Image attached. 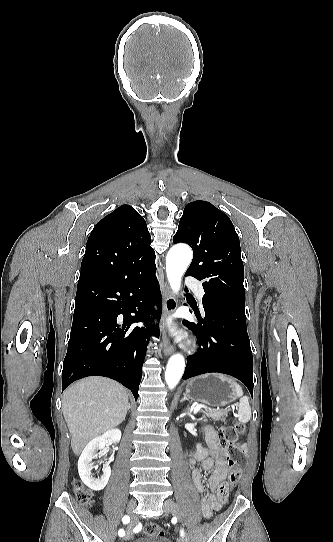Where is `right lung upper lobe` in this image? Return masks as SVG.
Wrapping results in <instances>:
<instances>
[{
    "mask_svg": "<svg viewBox=\"0 0 333 542\" xmlns=\"http://www.w3.org/2000/svg\"><path fill=\"white\" fill-rule=\"evenodd\" d=\"M143 217L129 205H122L100 220L92 230L86 245L88 250H110L114 253L128 248L154 251ZM122 271H85L81 269L79 282L102 279L118 280Z\"/></svg>",
    "mask_w": 333,
    "mask_h": 542,
    "instance_id": "1",
    "label": "right lung upper lobe"
}]
</instances>
